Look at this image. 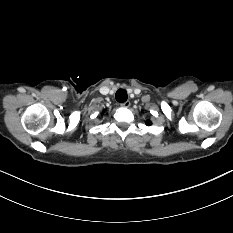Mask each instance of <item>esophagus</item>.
<instances>
[{
    "label": "esophagus",
    "instance_id": "esophagus-1",
    "mask_svg": "<svg viewBox=\"0 0 233 233\" xmlns=\"http://www.w3.org/2000/svg\"><path fill=\"white\" fill-rule=\"evenodd\" d=\"M130 101H125L121 104L122 107L128 108L130 106Z\"/></svg>",
    "mask_w": 233,
    "mask_h": 233
}]
</instances>
